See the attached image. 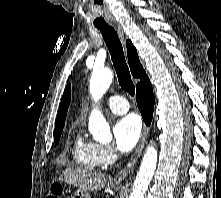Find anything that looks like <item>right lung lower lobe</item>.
<instances>
[{
    "label": "right lung lower lobe",
    "mask_w": 221,
    "mask_h": 198,
    "mask_svg": "<svg viewBox=\"0 0 221 198\" xmlns=\"http://www.w3.org/2000/svg\"><path fill=\"white\" fill-rule=\"evenodd\" d=\"M136 100L143 120L147 125H150L153 117L155 97L149 78L137 86Z\"/></svg>",
    "instance_id": "right-lung-lower-lobe-1"
}]
</instances>
